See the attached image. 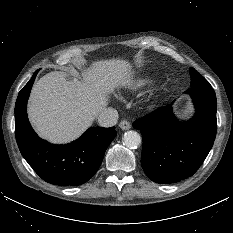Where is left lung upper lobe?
Instances as JSON below:
<instances>
[{
	"label": "left lung upper lobe",
	"instance_id": "1",
	"mask_svg": "<svg viewBox=\"0 0 233 233\" xmlns=\"http://www.w3.org/2000/svg\"><path fill=\"white\" fill-rule=\"evenodd\" d=\"M190 76H191V87H205L211 86L209 82L201 76L194 68H190Z\"/></svg>",
	"mask_w": 233,
	"mask_h": 233
}]
</instances>
